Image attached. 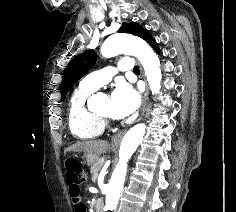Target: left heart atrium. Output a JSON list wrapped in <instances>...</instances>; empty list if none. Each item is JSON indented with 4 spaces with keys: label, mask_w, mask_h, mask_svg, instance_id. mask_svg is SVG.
I'll list each match as a JSON object with an SVG mask.
<instances>
[{
    "label": "left heart atrium",
    "mask_w": 236,
    "mask_h": 212,
    "mask_svg": "<svg viewBox=\"0 0 236 212\" xmlns=\"http://www.w3.org/2000/svg\"><path fill=\"white\" fill-rule=\"evenodd\" d=\"M110 99L111 115L116 118L133 114L141 102L140 94L128 84H119Z\"/></svg>",
    "instance_id": "left-heart-atrium-1"
}]
</instances>
